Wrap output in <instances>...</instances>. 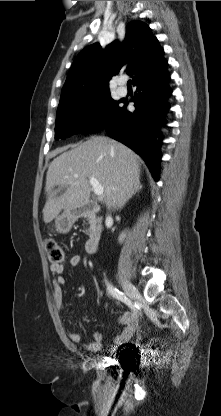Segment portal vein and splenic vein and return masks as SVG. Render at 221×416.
Instances as JSON below:
<instances>
[{
  "mask_svg": "<svg viewBox=\"0 0 221 416\" xmlns=\"http://www.w3.org/2000/svg\"><path fill=\"white\" fill-rule=\"evenodd\" d=\"M75 177H77V176H75ZM89 182H90L91 186L94 189L95 195L102 196L103 192H104V189H103L102 185L99 183V181L95 177L90 176L89 177Z\"/></svg>",
  "mask_w": 221,
  "mask_h": 416,
  "instance_id": "obj_1",
  "label": "portal vein and splenic vein"
}]
</instances>
